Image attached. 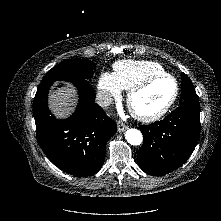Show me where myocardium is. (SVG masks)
I'll return each mask as SVG.
<instances>
[{
	"label": "myocardium",
	"instance_id": "obj_1",
	"mask_svg": "<svg viewBox=\"0 0 221 221\" xmlns=\"http://www.w3.org/2000/svg\"><path fill=\"white\" fill-rule=\"evenodd\" d=\"M170 79L173 84H174V90L173 93L170 97V99L167 101V103L158 111L152 113V114H142L137 112L134 108H133V100L134 98L141 93L142 91H144L145 89H147L151 84H153L155 81L160 80V79ZM178 83L177 80L170 74L168 73H162V74H157V75H153L147 79H145L144 81H142L141 83H139L138 85H136L135 87H133L132 89H130L128 91L127 94V106L130 110V112L132 113V115L138 119L139 121L142 122H154L158 119H160L161 117H163L169 110L170 108L173 106V104L175 103L177 96H178Z\"/></svg>",
	"mask_w": 221,
	"mask_h": 221
}]
</instances>
